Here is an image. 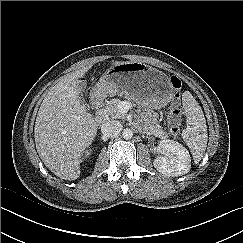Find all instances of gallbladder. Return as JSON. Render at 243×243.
Returning a JSON list of instances; mask_svg holds the SVG:
<instances>
[{"instance_id": "bac80fb5", "label": "gallbladder", "mask_w": 243, "mask_h": 243, "mask_svg": "<svg viewBox=\"0 0 243 243\" xmlns=\"http://www.w3.org/2000/svg\"><path fill=\"white\" fill-rule=\"evenodd\" d=\"M83 105L85 106L86 109H88L89 106L87 104H83Z\"/></svg>"}]
</instances>
